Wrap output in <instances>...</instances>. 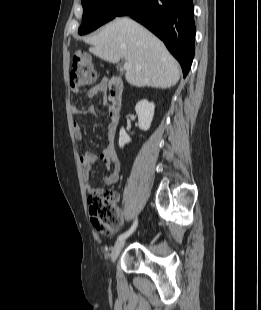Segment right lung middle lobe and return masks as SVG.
I'll list each match as a JSON object with an SVG mask.
<instances>
[{"instance_id": "obj_1", "label": "right lung middle lobe", "mask_w": 261, "mask_h": 310, "mask_svg": "<svg viewBox=\"0 0 261 310\" xmlns=\"http://www.w3.org/2000/svg\"><path fill=\"white\" fill-rule=\"evenodd\" d=\"M128 0H82L83 17L79 34L89 33L117 16Z\"/></svg>"}]
</instances>
